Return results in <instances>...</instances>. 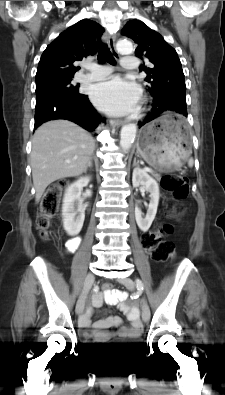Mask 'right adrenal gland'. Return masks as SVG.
I'll use <instances>...</instances> for the list:
<instances>
[{
    "mask_svg": "<svg viewBox=\"0 0 225 395\" xmlns=\"http://www.w3.org/2000/svg\"><path fill=\"white\" fill-rule=\"evenodd\" d=\"M92 157H90V160H89V162H88V164H87V167H86V170H87V168L89 167V168H91L92 167Z\"/></svg>",
    "mask_w": 225,
    "mask_h": 395,
    "instance_id": "1",
    "label": "right adrenal gland"
}]
</instances>
